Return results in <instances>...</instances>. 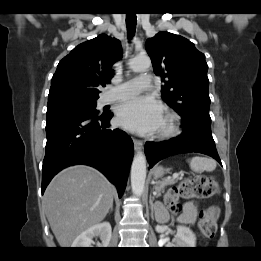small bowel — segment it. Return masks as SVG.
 Segmentation results:
<instances>
[{"instance_id": "1", "label": "small bowel", "mask_w": 261, "mask_h": 261, "mask_svg": "<svg viewBox=\"0 0 261 261\" xmlns=\"http://www.w3.org/2000/svg\"><path fill=\"white\" fill-rule=\"evenodd\" d=\"M197 216V206L193 202H187L183 212L178 217V221L182 223L194 224Z\"/></svg>"}]
</instances>
